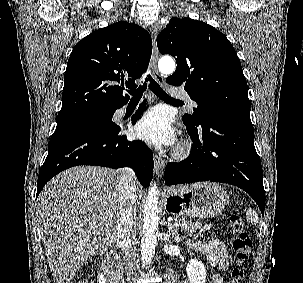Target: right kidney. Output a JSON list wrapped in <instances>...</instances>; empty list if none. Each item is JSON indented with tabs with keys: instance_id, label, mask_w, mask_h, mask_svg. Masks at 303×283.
<instances>
[{
	"instance_id": "1",
	"label": "right kidney",
	"mask_w": 303,
	"mask_h": 283,
	"mask_svg": "<svg viewBox=\"0 0 303 283\" xmlns=\"http://www.w3.org/2000/svg\"><path fill=\"white\" fill-rule=\"evenodd\" d=\"M98 283H106V278L103 274L98 275Z\"/></svg>"
}]
</instances>
